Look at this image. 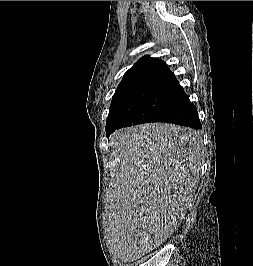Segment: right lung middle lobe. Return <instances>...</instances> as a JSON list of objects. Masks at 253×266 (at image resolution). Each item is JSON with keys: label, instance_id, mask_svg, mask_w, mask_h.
<instances>
[{"label": "right lung middle lobe", "instance_id": "1", "mask_svg": "<svg viewBox=\"0 0 253 266\" xmlns=\"http://www.w3.org/2000/svg\"><path fill=\"white\" fill-rule=\"evenodd\" d=\"M175 86L161 85L135 91L112 100L106 126L156 122L168 111Z\"/></svg>", "mask_w": 253, "mask_h": 266}]
</instances>
